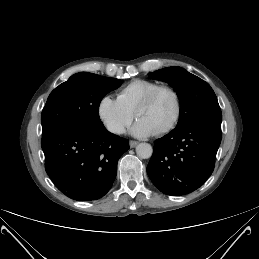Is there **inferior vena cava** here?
<instances>
[{
  "instance_id": "obj_1",
  "label": "inferior vena cava",
  "mask_w": 259,
  "mask_h": 259,
  "mask_svg": "<svg viewBox=\"0 0 259 259\" xmlns=\"http://www.w3.org/2000/svg\"><path fill=\"white\" fill-rule=\"evenodd\" d=\"M109 130L115 134H123L125 132V129L122 126L118 125L110 127Z\"/></svg>"
}]
</instances>
